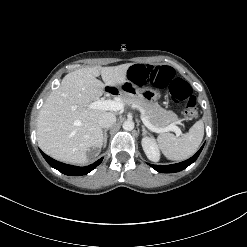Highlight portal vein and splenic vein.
I'll return each mask as SVG.
<instances>
[{"label": "portal vein and splenic vein", "instance_id": "1", "mask_svg": "<svg viewBox=\"0 0 247 247\" xmlns=\"http://www.w3.org/2000/svg\"><path fill=\"white\" fill-rule=\"evenodd\" d=\"M124 106L125 104L123 102L113 101V100H105V101L97 100L89 105V107L92 109H101V110H110V111H119L123 109ZM141 120L144 123V125L153 132L164 133L168 131H173L176 133L177 136L182 135V131L175 124H170L166 127L159 128L152 125L143 114L141 115Z\"/></svg>", "mask_w": 247, "mask_h": 247}]
</instances>
